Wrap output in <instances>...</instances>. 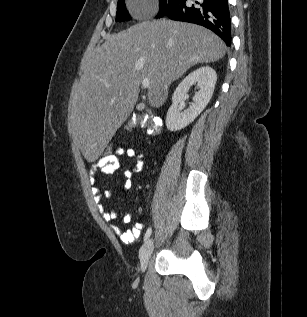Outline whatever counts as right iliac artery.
<instances>
[{"instance_id": "right-iliac-artery-1", "label": "right iliac artery", "mask_w": 307, "mask_h": 317, "mask_svg": "<svg viewBox=\"0 0 307 317\" xmlns=\"http://www.w3.org/2000/svg\"><path fill=\"white\" fill-rule=\"evenodd\" d=\"M151 233H152V228L150 227V228L147 229V231H146V233H145L144 242L149 239Z\"/></svg>"}]
</instances>
